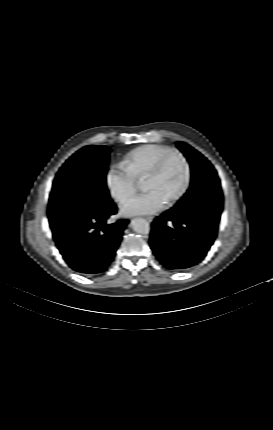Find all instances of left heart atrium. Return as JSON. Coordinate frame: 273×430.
Returning a JSON list of instances; mask_svg holds the SVG:
<instances>
[{
  "label": "left heart atrium",
  "mask_w": 273,
  "mask_h": 430,
  "mask_svg": "<svg viewBox=\"0 0 273 430\" xmlns=\"http://www.w3.org/2000/svg\"><path fill=\"white\" fill-rule=\"evenodd\" d=\"M165 205V200L156 191H148L128 200L121 212L126 216L153 214L161 211Z\"/></svg>",
  "instance_id": "left-heart-atrium-1"
}]
</instances>
